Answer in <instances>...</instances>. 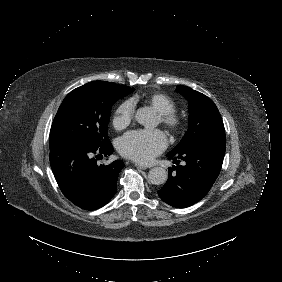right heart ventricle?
Segmentation results:
<instances>
[{"label": "right heart ventricle", "instance_id": "right-heart-ventricle-1", "mask_svg": "<svg viewBox=\"0 0 282 282\" xmlns=\"http://www.w3.org/2000/svg\"><path fill=\"white\" fill-rule=\"evenodd\" d=\"M139 97L135 96L130 100V105L134 106ZM148 103L158 113H173L175 110L174 104L167 96L161 93H155L148 97Z\"/></svg>", "mask_w": 282, "mask_h": 282}]
</instances>
